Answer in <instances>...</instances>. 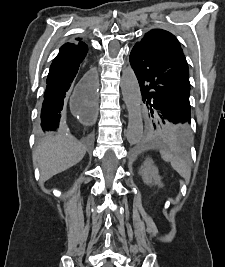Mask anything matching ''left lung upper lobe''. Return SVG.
Masks as SVG:
<instances>
[{"label": "left lung upper lobe", "mask_w": 225, "mask_h": 267, "mask_svg": "<svg viewBox=\"0 0 225 267\" xmlns=\"http://www.w3.org/2000/svg\"><path fill=\"white\" fill-rule=\"evenodd\" d=\"M144 37L151 38L156 42L172 46L182 51L180 43L178 42L176 37L166 30L153 29L148 33H146ZM151 113L152 116L153 114L155 116V113L153 111ZM153 126L160 133L173 139L179 144L185 145L190 140V130L188 125L176 124L174 122L164 120L163 118L155 116V119L153 121Z\"/></svg>", "instance_id": "left-lung-upper-lobe-1"}]
</instances>
